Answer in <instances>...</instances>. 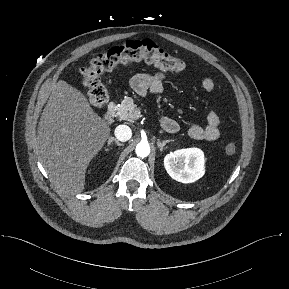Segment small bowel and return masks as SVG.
<instances>
[{
	"instance_id": "c3829d8e",
	"label": "small bowel",
	"mask_w": 289,
	"mask_h": 289,
	"mask_svg": "<svg viewBox=\"0 0 289 289\" xmlns=\"http://www.w3.org/2000/svg\"><path fill=\"white\" fill-rule=\"evenodd\" d=\"M168 74L164 72H156L153 74H138L133 77L131 86L133 90L140 96H146L147 94L156 95L163 91L164 85L168 80ZM201 86L205 91H211L215 84L214 81L206 77L202 80ZM206 125L192 124L188 128V134L191 138L197 140L214 141L219 138L220 131V118L213 112H208L206 116ZM161 125L163 129L168 133H175L178 131L179 126L177 122L167 116L162 117Z\"/></svg>"
}]
</instances>
